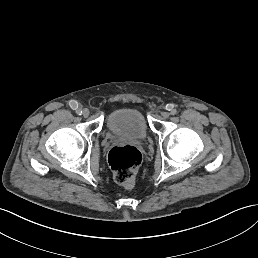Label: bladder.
Instances as JSON below:
<instances>
[{"mask_svg":"<svg viewBox=\"0 0 258 258\" xmlns=\"http://www.w3.org/2000/svg\"><path fill=\"white\" fill-rule=\"evenodd\" d=\"M108 130L119 137L142 140L148 134L145 116L137 109H120L112 112L107 120Z\"/></svg>","mask_w":258,"mask_h":258,"instance_id":"bladder-1","label":"bladder"}]
</instances>
